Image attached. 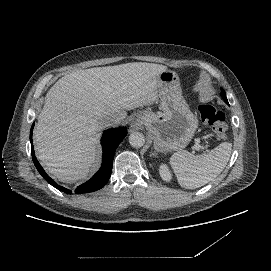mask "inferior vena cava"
I'll return each mask as SVG.
<instances>
[{
  "label": "inferior vena cava",
  "mask_w": 271,
  "mask_h": 271,
  "mask_svg": "<svg viewBox=\"0 0 271 271\" xmlns=\"http://www.w3.org/2000/svg\"><path fill=\"white\" fill-rule=\"evenodd\" d=\"M98 123L101 125V127L107 128V127H116L120 123L119 119H114L108 116H101L98 118Z\"/></svg>",
  "instance_id": "1"
}]
</instances>
